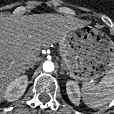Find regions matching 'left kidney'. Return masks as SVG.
I'll return each mask as SVG.
<instances>
[{
    "instance_id": "left-kidney-1",
    "label": "left kidney",
    "mask_w": 114,
    "mask_h": 114,
    "mask_svg": "<svg viewBox=\"0 0 114 114\" xmlns=\"http://www.w3.org/2000/svg\"><path fill=\"white\" fill-rule=\"evenodd\" d=\"M66 91H67V95H68L70 101L74 105L78 106L80 104V97H81V93H80L78 84L72 80L67 81Z\"/></svg>"
}]
</instances>
